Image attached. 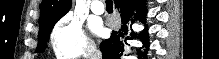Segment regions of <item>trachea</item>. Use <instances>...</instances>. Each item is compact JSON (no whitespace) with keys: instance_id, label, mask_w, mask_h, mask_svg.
I'll use <instances>...</instances> for the list:
<instances>
[{"instance_id":"obj_1","label":"trachea","mask_w":219,"mask_h":59,"mask_svg":"<svg viewBox=\"0 0 219 59\" xmlns=\"http://www.w3.org/2000/svg\"><path fill=\"white\" fill-rule=\"evenodd\" d=\"M105 3H106V7H107V8H113V2H112V0H106Z\"/></svg>"}]
</instances>
